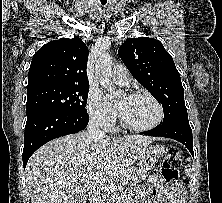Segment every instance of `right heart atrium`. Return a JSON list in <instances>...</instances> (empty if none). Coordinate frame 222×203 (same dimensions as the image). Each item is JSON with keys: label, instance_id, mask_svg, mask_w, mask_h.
I'll list each match as a JSON object with an SVG mask.
<instances>
[{"label": "right heart atrium", "instance_id": "d8ad5b80", "mask_svg": "<svg viewBox=\"0 0 222 203\" xmlns=\"http://www.w3.org/2000/svg\"><path fill=\"white\" fill-rule=\"evenodd\" d=\"M87 110L90 118L105 129L111 128L116 121L115 108L97 91H90Z\"/></svg>", "mask_w": 222, "mask_h": 203}]
</instances>
